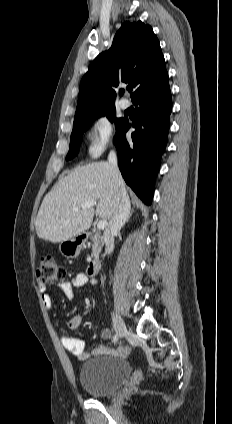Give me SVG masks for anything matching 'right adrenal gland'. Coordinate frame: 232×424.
<instances>
[{"instance_id": "2a0ac1e0", "label": "right adrenal gland", "mask_w": 232, "mask_h": 424, "mask_svg": "<svg viewBox=\"0 0 232 424\" xmlns=\"http://www.w3.org/2000/svg\"><path fill=\"white\" fill-rule=\"evenodd\" d=\"M132 213H133V210L131 211V213H129L128 219H130Z\"/></svg>"}]
</instances>
